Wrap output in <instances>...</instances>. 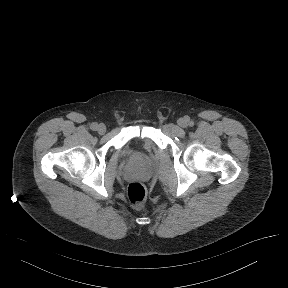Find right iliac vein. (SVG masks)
<instances>
[{
  "label": "right iliac vein",
  "mask_w": 288,
  "mask_h": 288,
  "mask_svg": "<svg viewBox=\"0 0 288 288\" xmlns=\"http://www.w3.org/2000/svg\"><path fill=\"white\" fill-rule=\"evenodd\" d=\"M97 131L100 135L104 134L106 132V126L104 124H99L97 126Z\"/></svg>",
  "instance_id": "right-iliac-vein-1"
}]
</instances>
